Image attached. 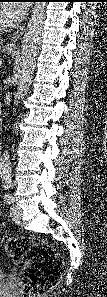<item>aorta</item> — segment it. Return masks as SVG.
<instances>
[{"label":"aorta","mask_w":107,"mask_h":297,"mask_svg":"<svg viewBox=\"0 0 107 297\" xmlns=\"http://www.w3.org/2000/svg\"><path fill=\"white\" fill-rule=\"evenodd\" d=\"M45 2H38L35 4L29 22L27 24V29L25 31L21 55L18 63V80H17V91L14 98V107L12 111L16 110L19 104V100L24 97L29 89L37 55L39 52L42 33L44 27L45 18ZM9 156L5 152L1 158V167L6 168L9 165Z\"/></svg>","instance_id":"762f6f07"}]
</instances>
